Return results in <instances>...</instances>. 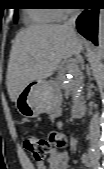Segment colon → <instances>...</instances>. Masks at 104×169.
<instances>
[{
  "label": "colon",
  "instance_id": "obj_1",
  "mask_svg": "<svg viewBox=\"0 0 104 169\" xmlns=\"http://www.w3.org/2000/svg\"><path fill=\"white\" fill-rule=\"evenodd\" d=\"M55 142V134H51L48 137H45L42 135L27 133L24 138L25 149L38 162H43L45 160L51 150L52 144Z\"/></svg>",
  "mask_w": 104,
  "mask_h": 169
}]
</instances>
